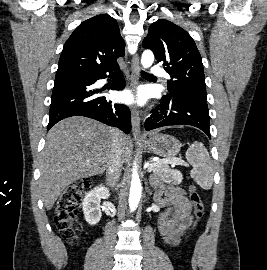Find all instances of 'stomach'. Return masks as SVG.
<instances>
[{
  "label": "stomach",
  "instance_id": "0dacf381",
  "mask_svg": "<svg viewBox=\"0 0 267 270\" xmlns=\"http://www.w3.org/2000/svg\"><path fill=\"white\" fill-rule=\"evenodd\" d=\"M180 148V141L168 134H152L144 143V149L147 152L164 158L175 157L179 153Z\"/></svg>",
  "mask_w": 267,
  "mask_h": 270
}]
</instances>
